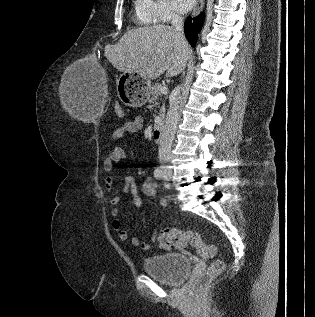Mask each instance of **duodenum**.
Here are the masks:
<instances>
[{
  "mask_svg": "<svg viewBox=\"0 0 315 317\" xmlns=\"http://www.w3.org/2000/svg\"><path fill=\"white\" fill-rule=\"evenodd\" d=\"M153 138L156 142H161L164 138V123L159 121L156 123L153 130Z\"/></svg>",
  "mask_w": 315,
  "mask_h": 317,
  "instance_id": "1",
  "label": "duodenum"
}]
</instances>
